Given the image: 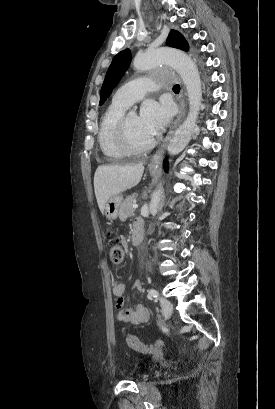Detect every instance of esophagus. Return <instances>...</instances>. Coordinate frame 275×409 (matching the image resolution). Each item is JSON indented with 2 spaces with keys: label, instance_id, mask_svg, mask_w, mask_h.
Segmentation results:
<instances>
[{
  "label": "esophagus",
  "instance_id": "obj_1",
  "mask_svg": "<svg viewBox=\"0 0 275 409\" xmlns=\"http://www.w3.org/2000/svg\"><path fill=\"white\" fill-rule=\"evenodd\" d=\"M182 93H183V91H182ZM185 113H186L185 100H184V98H182L181 101H180V106H179V115L176 118L173 126L170 128L169 132L167 133L166 137L164 138V141L162 142V145L159 147V149L154 154L153 159H161L162 158L171 137L173 136L177 126L180 124V122H181L183 116L185 115Z\"/></svg>",
  "mask_w": 275,
  "mask_h": 409
}]
</instances>
